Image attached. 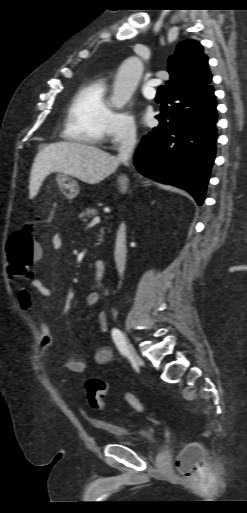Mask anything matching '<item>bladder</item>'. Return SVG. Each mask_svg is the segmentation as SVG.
<instances>
[{
    "instance_id": "1",
    "label": "bladder",
    "mask_w": 247,
    "mask_h": 513,
    "mask_svg": "<svg viewBox=\"0 0 247 513\" xmlns=\"http://www.w3.org/2000/svg\"><path fill=\"white\" fill-rule=\"evenodd\" d=\"M94 425L100 429L106 430L113 434L118 440L124 441L128 439H151L152 433L150 430L145 428L139 429H127L122 426L114 425L109 422L98 421Z\"/></svg>"
}]
</instances>
